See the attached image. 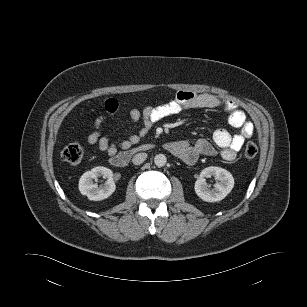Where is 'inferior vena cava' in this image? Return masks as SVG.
<instances>
[{
	"mask_svg": "<svg viewBox=\"0 0 307 307\" xmlns=\"http://www.w3.org/2000/svg\"><path fill=\"white\" fill-rule=\"evenodd\" d=\"M146 158H147V154L146 153H143V152L142 153H138V154H136L133 157L132 162L135 165H139V164L143 163L146 160Z\"/></svg>",
	"mask_w": 307,
	"mask_h": 307,
	"instance_id": "1",
	"label": "inferior vena cava"
}]
</instances>
